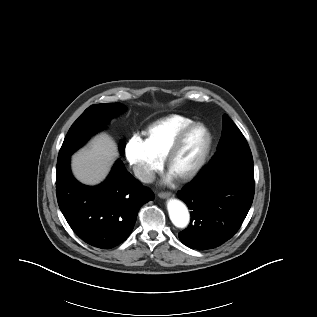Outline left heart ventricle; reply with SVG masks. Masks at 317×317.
<instances>
[{
  "instance_id": "obj_1",
  "label": "left heart ventricle",
  "mask_w": 317,
  "mask_h": 317,
  "mask_svg": "<svg viewBox=\"0 0 317 317\" xmlns=\"http://www.w3.org/2000/svg\"><path fill=\"white\" fill-rule=\"evenodd\" d=\"M206 143V136L202 129H194L184 140L178 154L172 161L170 171L174 175H181L189 171L200 158Z\"/></svg>"
}]
</instances>
